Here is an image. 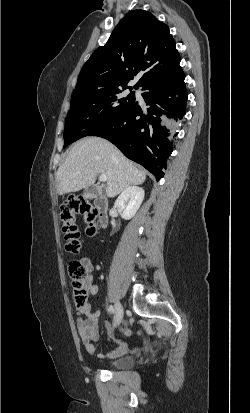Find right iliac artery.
Masks as SVG:
<instances>
[{
  "mask_svg": "<svg viewBox=\"0 0 250 413\" xmlns=\"http://www.w3.org/2000/svg\"><path fill=\"white\" fill-rule=\"evenodd\" d=\"M108 310H109L110 314H113V313H114V308H113L112 305L109 306Z\"/></svg>",
  "mask_w": 250,
  "mask_h": 413,
  "instance_id": "82829eb1",
  "label": "right iliac artery"
}]
</instances>
